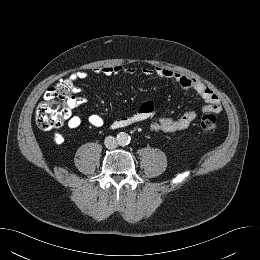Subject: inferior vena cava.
Returning a JSON list of instances; mask_svg holds the SVG:
<instances>
[{"label": "inferior vena cava", "mask_w": 260, "mask_h": 260, "mask_svg": "<svg viewBox=\"0 0 260 260\" xmlns=\"http://www.w3.org/2000/svg\"><path fill=\"white\" fill-rule=\"evenodd\" d=\"M104 144H105V146H106L108 149H114V148L117 147L118 142H117V140H116L115 137H113V136H107V137L105 138Z\"/></svg>", "instance_id": "1"}]
</instances>
